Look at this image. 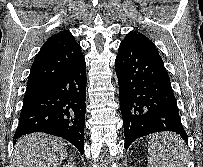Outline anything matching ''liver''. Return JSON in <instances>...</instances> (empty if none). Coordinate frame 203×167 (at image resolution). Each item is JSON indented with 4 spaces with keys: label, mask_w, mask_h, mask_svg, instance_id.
<instances>
[{
    "label": "liver",
    "mask_w": 203,
    "mask_h": 167,
    "mask_svg": "<svg viewBox=\"0 0 203 167\" xmlns=\"http://www.w3.org/2000/svg\"><path fill=\"white\" fill-rule=\"evenodd\" d=\"M163 135H156L158 139ZM67 148L58 138L34 133L20 138L14 148L15 167H58L66 157Z\"/></svg>",
    "instance_id": "6515ba94"
}]
</instances>
